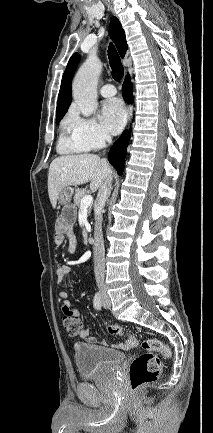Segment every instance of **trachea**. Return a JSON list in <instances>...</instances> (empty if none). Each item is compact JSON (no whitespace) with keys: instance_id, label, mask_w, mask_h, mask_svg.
<instances>
[{"instance_id":"1","label":"trachea","mask_w":213,"mask_h":433,"mask_svg":"<svg viewBox=\"0 0 213 433\" xmlns=\"http://www.w3.org/2000/svg\"><path fill=\"white\" fill-rule=\"evenodd\" d=\"M108 58L110 67L112 69V76L116 81H120V79L124 75V68L121 63L120 57L115 49V47L110 44L108 49Z\"/></svg>"}]
</instances>
